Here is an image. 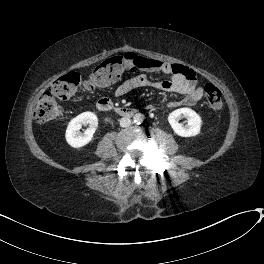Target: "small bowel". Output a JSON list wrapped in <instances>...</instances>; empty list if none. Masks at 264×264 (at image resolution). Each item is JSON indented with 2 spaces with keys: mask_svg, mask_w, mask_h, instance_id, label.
Returning <instances> with one entry per match:
<instances>
[{
  "mask_svg": "<svg viewBox=\"0 0 264 264\" xmlns=\"http://www.w3.org/2000/svg\"><path fill=\"white\" fill-rule=\"evenodd\" d=\"M137 61L141 70L164 73L168 75V80L160 81L146 75H137L118 86L116 89L118 96L129 94L140 88L152 87L169 94L184 96L180 100L168 101L167 106L169 107L193 106L202 98L203 89L198 85L189 67L149 58H137Z\"/></svg>",
  "mask_w": 264,
  "mask_h": 264,
  "instance_id": "1",
  "label": "small bowel"
}]
</instances>
